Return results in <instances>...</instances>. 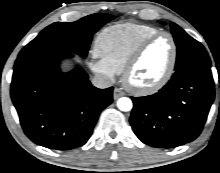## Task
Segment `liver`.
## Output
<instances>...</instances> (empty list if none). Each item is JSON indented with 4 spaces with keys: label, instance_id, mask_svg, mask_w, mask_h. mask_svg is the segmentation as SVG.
<instances>
[{
    "label": "liver",
    "instance_id": "liver-1",
    "mask_svg": "<svg viewBox=\"0 0 220 173\" xmlns=\"http://www.w3.org/2000/svg\"><path fill=\"white\" fill-rule=\"evenodd\" d=\"M62 69H63L64 72H66V71H69V70H70V67L63 66Z\"/></svg>",
    "mask_w": 220,
    "mask_h": 173
}]
</instances>
